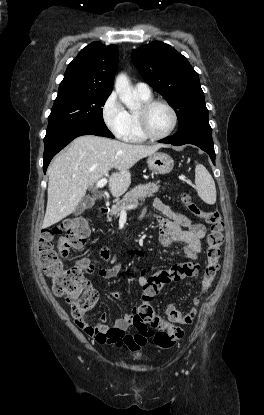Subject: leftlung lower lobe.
Segmentation results:
<instances>
[{"label": "left lung lower lobe", "instance_id": "obj_1", "mask_svg": "<svg viewBox=\"0 0 264 415\" xmlns=\"http://www.w3.org/2000/svg\"><path fill=\"white\" fill-rule=\"evenodd\" d=\"M161 143L180 146L184 144H193L207 152L215 164L214 144L212 140V129L208 119L193 121L185 127L178 130L176 134L164 140Z\"/></svg>", "mask_w": 264, "mask_h": 415}]
</instances>
